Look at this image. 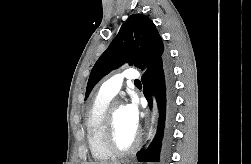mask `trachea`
Wrapping results in <instances>:
<instances>
[{"label": "trachea", "instance_id": "obj_1", "mask_svg": "<svg viewBox=\"0 0 251 164\" xmlns=\"http://www.w3.org/2000/svg\"><path fill=\"white\" fill-rule=\"evenodd\" d=\"M135 83H140V80H136Z\"/></svg>", "mask_w": 251, "mask_h": 164}]
</instances>
